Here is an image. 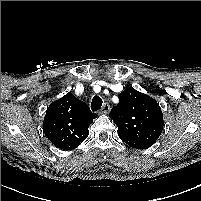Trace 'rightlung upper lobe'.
Listing matches in <instances>:
<instances>
[{
	"instance_id": "cb5924a9",
	"label": "right lung upper lobe",
	"mask_w": 201,
	"mask_h": 201,
	"mask_svg": "<svg viewBox=\"0 0 201 201\" xmlns=\"http://www.w3.org/2000/svg\"><path fill=\"white\" fill-rule=\"evenodd\" d=\"M97 115L70 92L51 103L43 122L46 137L61 150H72L88 137V127Z\"/></svg>"
}]
</instances>
